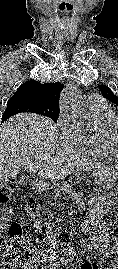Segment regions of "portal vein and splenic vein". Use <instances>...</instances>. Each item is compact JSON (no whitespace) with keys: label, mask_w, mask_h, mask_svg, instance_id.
<instances>
[{"label":"portal vein and splenic vein","mask_w":118,"mask_h":269,"mask_svg":"<svg viewBox=\"0 0 118 269\" xmlns=\"http://www.w3.org/2000/svg\"><path fill=\"white\" fill-rule=\"evenodd\" d=\"M39 172L41 173L42 171L39 170ZM47 175H48L49 177H52V173H51V172H47Z\"/></svg>","instance_id":"portal-vein-and-splenic-vein-1"}]
</instances>
